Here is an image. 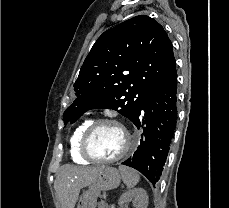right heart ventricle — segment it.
Segmentation results:
<instances>
[{
  "mask_svg": "<svg viewBox=\"0 0 229 208\" xmlns=\"http://www.w3.org/2000/svg\"><path fill=\"white\" fill-rule=\"evenodd\" d=\"M92 123L91 120H85L81 124H79L71 133L69 138V154L71 160L75 164L79 165H87L92 163V160L89 158H82V153L78 152L80 148V143H82V136L86 130V128Z\"/></svg>",
  "mask_w": 229,
  "mask_h": 208,
  "instance_id": "1",
  "label": "right heart ventricle"
}]
</instances>
